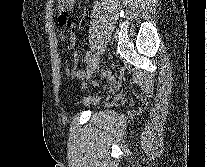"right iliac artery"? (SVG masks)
I'll return each mask as SVG.
<instances>
[{
  "mask_svg": "<svg viewBox=\"0 0 207 167\" xmlns=\"http://www.w3.org/2000/svg\"><path fill=\"white\" fill-rule=\"evenodd\" d=\"M92 53L90 51L87 52V62L91 60Z\"/></svg>",
  "mask_w": 207,
  "mask_h": 167,
  "instance_id": "right-iliac-artery-1",
  "label": "right iliac artery"
}]
</instances>
